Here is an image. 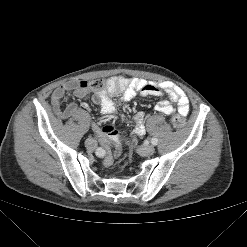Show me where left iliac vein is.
Listing matches in <instances>:
<instances>
[{
    "label": "left iliac vein",
    "instance_id": "obj_1",
    "mask_svg": "<svg viewBox=\"0 0 247 247\" xmlns=\"http://www.w3.org/2000/svg\"><path fill=\"white\" fill-rule=\"evenodd\" d=\"M137 151L142 156H150L155 152V148L153 146H140Z\"/></svg>",
    "mask_w": 247,
    "mask_h": 247
}]
</instances>
